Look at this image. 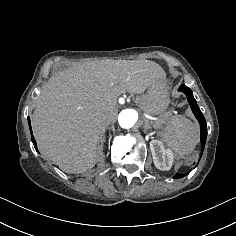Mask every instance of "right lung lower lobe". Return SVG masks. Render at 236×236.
Segmentation results:
<instances>
[{"label":"right lung lower lobe","instance_id":"98d812e1","mask_svg":"<svg viewBox=\"0 0 236 236\" xmlns=\"http://www.w3.org/2000/svg\"><path fill=\"white\" fill-rule=\"evenodd\" d=\"M28 123H29L30 131H31L32 142H33V144H34L35 149L37 150L36 141H35V139H34V137H33V134H32L31 123H30V118H29V117H28Z\"/></svg>","mask_w":236,"mask_h":236}]
</instances>
